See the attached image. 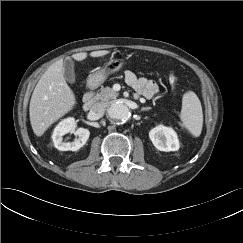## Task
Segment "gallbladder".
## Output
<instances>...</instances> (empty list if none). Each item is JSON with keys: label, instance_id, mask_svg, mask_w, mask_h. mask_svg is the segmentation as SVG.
<instances>
[{"label": "gallbladder", "instance_id": "bac80fb5", "mask_svg": "<svg viewBox=\"0 0 243 243\" xmlns=\"http://www.w3.org/2000/svg\"><path fill=\"white\" fill-rule=\"evenodd\" d=\"M65 79L70 83L74 84L76 81V75L74 72V61L70 58L65 59L64 61V70H63Z\"/></svg>", "mask_w": 243, "mask_h": 243}]
</instances>
